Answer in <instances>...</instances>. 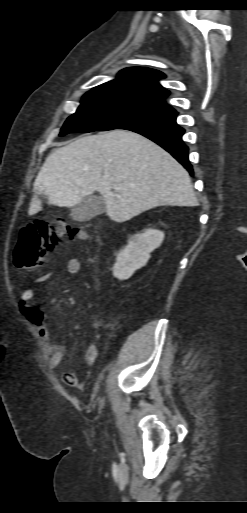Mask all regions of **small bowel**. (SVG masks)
Segmentation results:
<instances>
[{"instance_id":"obj_1","label":"small bowel","mask_w":247,"mask_h":513,"mask_svg":"<svg viewBox=\"0 0 247 513\" xmlns=\"http://www.w3.org/2000/svg\"><path fill=\"white\" fill-rule=\"evenodd\" d=\"M81 268L80 260L76 257H70L66 261L65 270L68 274L75 275L78 274ZM52 275V272L49 271L43 275H41L36 283H42L48 280ZM35 295V290L33 288L24 289L19 297L18 304L20 307V311L26 317V319L31 323L37 330L39 337L46 344L47 352H46V363L51 368H56L59 366L66 354L65 347L59 343H56L52 340L51 334L46 322L45 313L37 308H35L31 301ZM98 349L95 345H89L85 352V363L87 365H93L98 358ZM63 381L66 385L79 387L81 382L77 379L75 375L72 373L66 372L63 374Z\"/></svg>"}]
</instances>
